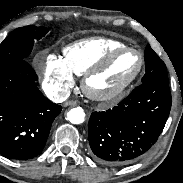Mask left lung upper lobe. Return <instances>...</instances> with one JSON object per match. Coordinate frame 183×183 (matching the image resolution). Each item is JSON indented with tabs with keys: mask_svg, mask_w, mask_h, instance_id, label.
Here are the masks:
<instances>
[{
	"mask_svg": "<svg viewBox=\"0 0 183 183\" xmlns=\"http://www.w3.org/2000/svg\"><path fill=\"white\" fill-rule=\"evenodd\" d=\"M144 57L146 63V73L142 78V83H168L166 66L149 45H147L145 49Z\"/></svg>",
	"mask_w": 183,
	"mask_h": 183,
	"instance_id": "1",
	"label": "left lung upper lobe"
}]
</instances>
